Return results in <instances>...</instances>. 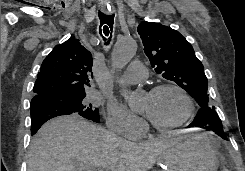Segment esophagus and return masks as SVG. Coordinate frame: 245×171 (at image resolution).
I'll use <instances>...</instances> for the list:
<instances>
[{
  "label": "esophagus",
  "mask_w": 245,
  "mask_h": 171,
  "mask_svg": "<svg viewBox=\"0 0 245 171\" xmlns=\"http://www.w3.org/2000/svg\"><path fill=\"white\" fill-rule=\"evenodd\" d=\"M100 9L104 12V13H114V9H112L110 6L106 5V4H101L100 5Z\"/></svg>",
  "instance_id": "esophagus-1"
}]
</instances>
